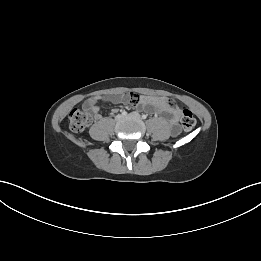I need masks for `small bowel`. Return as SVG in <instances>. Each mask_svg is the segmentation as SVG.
Segmentation results:
<instances>
[{"label": "small bowel", "instance_id": "c3829d8e", "mask_svg": "<svg viewBox=\"0 0 261 261\" xmlns=\"http://www.w3.org/2000/svg\"><path fill=\"white\" fill-rule=\"evenodd\" d=\"M112 104H132L139 110L160 115L171 126L174 135L179 132V120L181 110L171 100L161 96H146L144 94L130 93L127 95L93 96L86 99L82 107L85 111L91 112L96 120L101 118L99 102Z\"/></svg>", "mask_w": 261, "mask_h": 261}]
</instances>
